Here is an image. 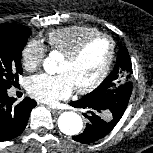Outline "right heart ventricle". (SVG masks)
Segmentation results:
<instances>
[{"instance_id":"obj_1","label":"right heart ventricle","mask_w":153,"mask_h":153,"mask_svg":"<svg viewBox=\"0 0 153 153\" xmlns=\"http://www.w3.org/2000/svg\"><path fill=\"white\" fill-rule=\"evenodd\" d=\"M97 33L100 32L96 28L75 25L50 31L46 41L50 49L66 55L85 38Z\"/></svg>"}]
</instances>
